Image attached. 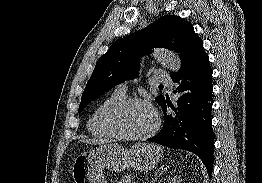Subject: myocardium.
I'll list each match as a JSON object with an SVG mask.
<instances>
[{
  "label": "myocardium",
  "instance_id": "1",
  "mask_svg": "<svg viewBox=\"0 0 262 183\" xmlns=\"http://www.w3.org/2000/svg\"><path fill=\"white\" fill-rule=\"evenodd\" d=\"M147 105L149 106L154 115H155V124L152 127L151 130H149L147 133L142 135H132L124 132L120 125H119V117L122 114L124 110H126L128 107L132 105ZM161 124V118L156 110V108L147 100L137 98V97H126L123 100L119 101L117 104H115L113 107L109 109V111L106 114V125L108 129L118 138L125 139V140H131V141H142L146 140L153 135L157 133V131L160 128Z\"/></svg>",
  "mask_w": 262,
  "mask_h": 183
}]
</instances>
